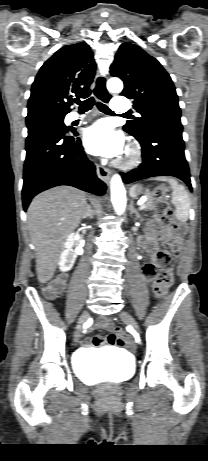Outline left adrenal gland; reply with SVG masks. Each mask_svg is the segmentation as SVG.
Here are the masks:
<instances>
[{
  "mask_svg": "<svg viewBox=\"0 0 208 461\" xmlns=\"http://www.w3.org/2000/svg\"><path fill=\"white\" fill-rule=\"evenodd\" d=\"M130 213H131V214H133V213H134L137 219H138V218H140V215H139V213H138V212H137V211L134 209V207H133V204H132V203L130 204Z\"/></svg>",
  "mask_w": 208,
  "mask_h": 461,
  "instance_id": "obj_1",
  "label": "left adrenal gland"
}]
</instances>
